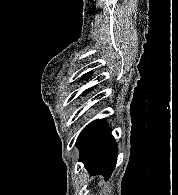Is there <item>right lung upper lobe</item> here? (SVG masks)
Wrapping results in <instances>:
<instances>
[{"instance_id":"right-lung-upper-lobe-1","label":"right lung upper lobe","mask_w":178,"mask_h":195,"mask_svg":"<svg viewBox=\"0 0 178 195\" xmlns=\"http://www.w3.org/2000/svg\"><path fill=\"white\" fill-rule=\"evenodd\" d=\"M90 75H91V73H86V74L83 75V77H84V78L90 77ZM89 90H90V89L84 91L83 94H86Z\"/></svg>"}]
</instances>
